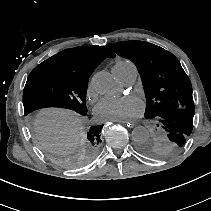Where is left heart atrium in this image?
<instances>
[{"mask_svg": "<svg viewBox=\"0 0 211 211\" xmlns=\"http://www.w3.org/2000/svg\"><path fill=\"white\" fill-rule=\"evenodd\" d=\"M144 111L142 100L134 95L106 96L94 108L100 121H119L141 116Z\"/></svg>", "mask_w": 211, "mask_h": 211, "instance_id": "39dd6f15", "label": "left heart atrium"}]
</instances>
